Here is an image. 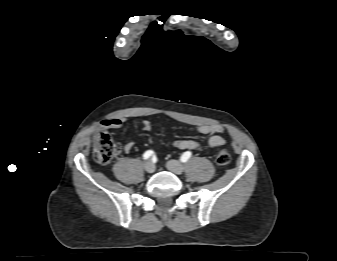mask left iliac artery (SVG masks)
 Returning <instances> with one entry per match:
<instances>
[{
    "mask_svg": "<svg viewBox=\"0 0 337 261\" xmlns=\"http://www.w3.org/2000/svg\"><path fill=\"white\" fill-rule=\"evenodd\" d=\"M191 156H192V153L190 151H187L182 155L181 161L186 162Z\"/></svg>",
    "mask_w": 337,
    "mask_h": 261,
    "instance_id": "1",
    "label": "left iliac artery"
}]
</instances>
